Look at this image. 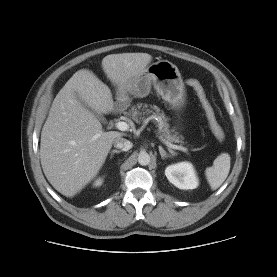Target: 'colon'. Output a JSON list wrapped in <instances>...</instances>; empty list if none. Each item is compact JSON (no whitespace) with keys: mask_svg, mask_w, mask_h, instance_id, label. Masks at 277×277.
I'll list each match as a JSON object with an SVG mask.
<instances>
[{"mask_svg":"<svg viewBox=\"0 0 277 277\" xmlns=\"http://www.w3.org/2000/svg\"><path fill=\"white\" fill-rule=\"evenodd\" d=\"M187 84L195 91L212 134L218 141H224V129L217 119L216 113L206 96L203 86L196 79H188Z\"/></svg>","mask_w":277,"mask_h":277,"instance_id":"1","label":"colon"}]
</instances>
